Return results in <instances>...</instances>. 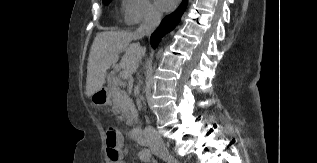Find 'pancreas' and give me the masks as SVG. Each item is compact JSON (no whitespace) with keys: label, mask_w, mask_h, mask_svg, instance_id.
<instances>
[{"label":"pancreas","mask_w":317,"mask_h":163,"mask_svg":"<svg viewBox=\"0 0 317 163\" xmlns=\"http://www.w3.org/2000/svg\"><path fill=\"white\" fill-rule=\"evenodd\" d=\"M120 84H112L110 97L112 99V110L119 120H126V124L132 126L137 122L138 113L132 99L122 90Z\"/></svg>","instance_id":"cf45deb5"}]
</instances>
